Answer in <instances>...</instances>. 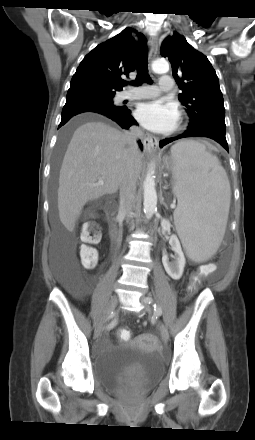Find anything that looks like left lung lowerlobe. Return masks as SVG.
Returning <instances> with one entry per match:
<instances>
[{
  "mask_svg": "<svg viewBox=\"0 0 255 440\" xmlns=\"http://www.w3.org/2000/svg\"><path fill=\"white\" fill-rule=\"evenodd\" d=\"M225 133H226L225 127L215 124H206L199 127L188 126V129L183 134L177 137L164 139L160 141L159 145L160 147H163L164 145L172 141L186 137H208L218 142L221 146H223L227 150V152H229Z\"/></svg>",
  "mask_w": 255,
  "mask_h": 440,
  "instance_id": "0a47b994",
  "label": "left lung lower lobe"
}]
</instances>
